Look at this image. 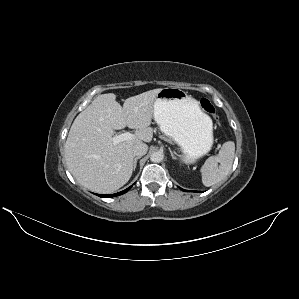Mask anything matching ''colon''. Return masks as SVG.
I'll return each instance as SVG.
<instances>
[{
    "label": "colon",
    "mask_w": 299,
    "mask_h": 299,
    "mask_svg": "<svg viewBox=\"0 0 299 299\" xmlns=\"http://www.w3.org/2000/svg\"><path fill=\"white\" fill-rule=\"evenodd\" d=\"M201 108L213 118H216V111L213 104L206 98H201L200 101Z\"/></svg>",
    "instance_id": "colon-1"
}]
</instances>
